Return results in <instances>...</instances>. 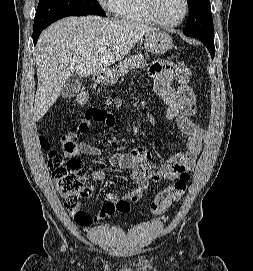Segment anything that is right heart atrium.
<instances>
[{
    "label": "right heart atrium",
    "instance_id": "d8ad5b80",
    "mask_svg": "<svg viewBox=\"0 0 253 271\" xmlns=\"http://www.w3.org/2000/svg\"><path fill=\"white\" fill-rule=\"evenodd\" d=\"M120 0H98L100 5L109 13H114Z\"/></svg>",
    "mask_w": 253,
    "mask_h": 271
}]
</instances>
